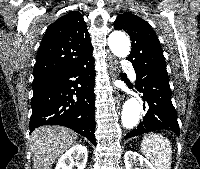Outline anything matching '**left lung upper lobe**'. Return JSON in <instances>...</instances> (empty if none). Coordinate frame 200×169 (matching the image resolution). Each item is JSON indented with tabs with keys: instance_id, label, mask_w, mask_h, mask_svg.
<instances>
[{
	"instance_id": "left-lung-upper-lobe-1",
	"label": "left lung upper lobe",
	"mask_w": 200,
	"mask_h": 169,
	"mask_svg": "<svg viewBox=\"0 0 200 169\" xmlns=\"http://www.w3.org/2000/svg\"><path fill=\"white\" fill-rule=\"evenodd\" d=\"M114 28L124 30L130 36L132 49L128 60L135 69L169 80L160 42L145 20L125 12L116 18Z\"/></svg>"
}]
</instances>
